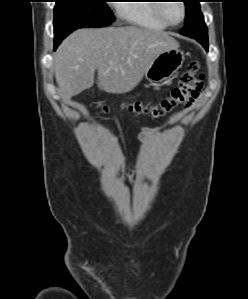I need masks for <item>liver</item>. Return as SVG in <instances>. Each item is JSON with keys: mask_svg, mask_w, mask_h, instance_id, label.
<instances>
[{"mask_svg": "<svg viewBox=\"0 0 248 299\" xmlns=\"http://www.w3.org/2000/svg\"><path fill=\"white\" fill-rule=\"evenodd\" d=\"M168 33L135 26L80 29L67 37L54 56V71L61 97L72 96L94 84L107 93L133 90L161 53L177 49Z\"/></svg>", "mask_w": 248, "mask_h": 299, "instance_id": "obj_1", "label": "liver"}]
</instances>
